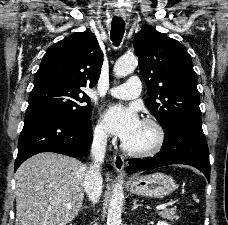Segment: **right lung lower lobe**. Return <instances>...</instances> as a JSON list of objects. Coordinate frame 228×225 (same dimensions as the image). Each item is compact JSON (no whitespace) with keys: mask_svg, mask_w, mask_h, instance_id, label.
Listing matches in <instances>:
<instances>
[{"mask_svg":"<svg viewBox=\"0 0 228 225\" xmlns=\"http://www.w3.org/2000/svg\"><path fill=\"white\" fill-rule=\"evenodd\" d=\"M92 142L90 119L81 121L68 115L44 112L25 116L18 142L14 171L29 157L55 152L81 157Z\"/></svg>","mask_w":228,"mask_h":225,"instance_id":"98d812e1","label":"right lung lower lobe"}]
</instances>
